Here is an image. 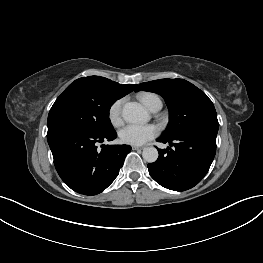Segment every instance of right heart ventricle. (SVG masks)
Returning <instances> with one entry per match:
<instances>
[{"label":"right heart ventricle","instance_id":"right-heart-ventricle-1","mask_svg":"<svg viewBox=\"0 0 263 263\" xmlns=\"http://www.w3.org/2000/svg\"><path fill=\"white\" fill-rule=\"evenodd\" d=\"M138 99L149 110H151L158 101H161L159 96L152 92H141L138 94Z\"/></svg>","mask_w":263,"mask_h":263}]
</instances>
